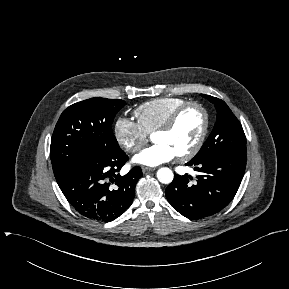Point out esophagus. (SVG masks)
Wrapping results in <instances>:
<instances>
[{
  "label": "esophagus",
  "instance_id": "34e87169",
  "mask_svg": "<svg viewBox=\"0 0 289 289\" xmlns=\"http://www.w3.org/2000/svg\"><path fill=\"white\" fill-rule=\"evenodd\" d=\"M155 170H156V168H153V167H146V166L142 167V172L143 173H148V172H152V171H155Z\"/></svg>",
  "mask_w": 289,
  "mask_h": 289
}]
</instances>
